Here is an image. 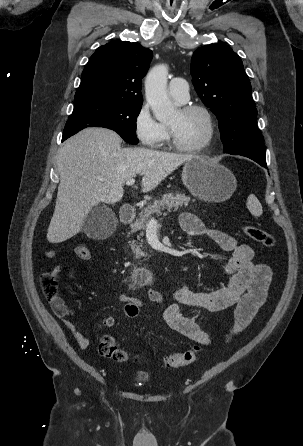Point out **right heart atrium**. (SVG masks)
Instances as JSON below:
<instances>
[{
    "mask_svg": "<svg viewBox=\"0 0 303 446\" xmlns=\"http://www.w3.org/2000/svg\"><path fill=\"white\" fill-rule=\"evenodd\" d=\"M133 126L137 139L146 147L157 148L167 138L166 127L154 118L148 104L145 102L137 110Z\"/></svg>",
    "mask_w": 303,
    "mask_h": 446,
    "instance_id": "1",
    "label": "right heart atrium"
}]
</instances>
